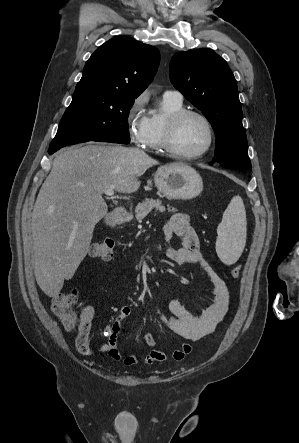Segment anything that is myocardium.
<instances>
[{
  "label": "myocardium",
  "instance_id": "obj_1",
  "mask_svg": "<svg viewBox=\"0 0 299 443\" xmlns=\"http://www.w3.org/2000/svg\"><path fill=\"white\" fill-rule=\"evenodd\" d=\"M188 116H195L201 119L206 125L208 131V140L205 147L201 151L193 154L182 153L179 150H177L174 145V138L177 128L181 123V121ZM214 139H215L214 128L211 121L207 118V116L196 110L181 109L179 111L171 113L167 117L164 125L162 146L165 152H167L169 155L175 158L184 159V160H194L203 157L210 151V149L213 146Z\"/></svg>",
  "mask_w": 299,
  "mask_h": 443
}]
</instances>
